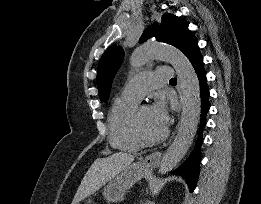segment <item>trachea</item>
<instances>
[{"instance_id": "1", "label": "trachea", "mask_w": 261, "mask_h": 204, "mask_svg": "<svg viewBox=\"0 0 261 204\" xmlns=\"http://www.w3.org/2000/svg\"><path fill=\"white\" fill-rule=\"evenodd\" d=\"M170 82H176V78H172Z\"/></svg>"}]
</instances>
